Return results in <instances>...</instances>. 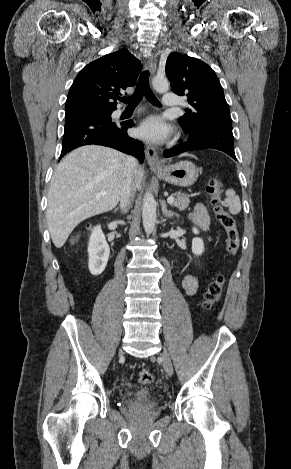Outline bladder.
Listing matches in <instances>:
<instances>
[{"label":"bladder","instance_id":"1","mask_svg":"<svg viewBox=\"0 0 291 469\" xmlns=\"http://www.w3.org/2000/svg\"><path fill=\"white\" fill-rule=\"evenodd\" d=\"M133 399L135 402L144 403V404H157L159 402V397L157 393L149 388H140L133 394Z\"/></svg>","mask_w":291,"mask_h":469}]
</instances>
